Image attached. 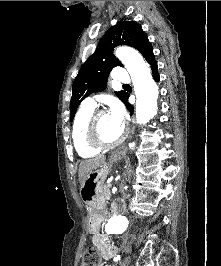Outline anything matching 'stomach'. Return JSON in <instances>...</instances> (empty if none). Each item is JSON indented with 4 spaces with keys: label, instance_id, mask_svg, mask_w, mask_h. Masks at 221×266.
<instances>
[{
    "label": "stomach",
    "instance_id": "stomach-1",
    "mask_svg": "<svg viewBox=\"0 0 221 266\" xmlns=\"http://www.w3.org/2000/svg\"><path fill=\"white\" fill-rule=\"evenodd\" d=\"M117 158H112L108 164L89 172L80 185V197L89 207V228L96 229L100 220V213L105 207V196L103 193V182Z\"/></svg>",
    "mask_w": 221,
    "mask_h": 266
}]
</instances>
